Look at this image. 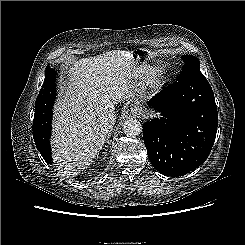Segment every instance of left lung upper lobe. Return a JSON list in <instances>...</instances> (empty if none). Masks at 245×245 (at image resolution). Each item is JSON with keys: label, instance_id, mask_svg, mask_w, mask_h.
I'll return each instance as SVG.
<instances>
[{"label": "left lung upper lobe", "instance_id": "1", "mask_svg": "<svg viewBox=\"0 0 245 245\" xmlns=\"http://www.w3.org/2000/svg\"><path fill=\"white\" fill-rule=\"evenodd\" d=\"M181 58L184 62V66L177 77V81L185 78L186 76L201 73L199 60L195 56L183 55Z\"/></svg>", "mask_w": 245, "mask_h": 245}]
</instances>
